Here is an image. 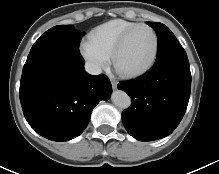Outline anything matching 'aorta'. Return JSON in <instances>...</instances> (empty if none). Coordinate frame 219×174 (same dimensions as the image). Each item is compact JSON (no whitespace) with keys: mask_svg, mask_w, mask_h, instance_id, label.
<instances>
[{"mask_svg":"<svg viewBox=\"0 0 219 174\" xmlns=\"http://www.w3.org/2000/svg\"><path fill=\"white\" fill-rule=\"evenodd\" d=\"M112 102L121 109H127L131 105V98L122 90H116L111 96Z\"/></svg>","mask_w":219,"mask_h":174,"instance_id":"762f6f07","label":"aorta"}]
</instances>
